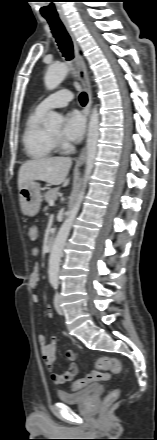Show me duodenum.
<instances>
[{"label": "duodenum", "instance_id": "410a0bca", "mask_svg": "<svg viewBox=\"0 0 157 440\" xmlns=\"http://www.w3.org/2000/svg\"><path fill=\"white\" fill-rule=\"evenodd\" d=\"M55 239L53 237L48 239L47 248L51 251L54 247Z\"/></svg>", "mask_w": 157, "mask_h": 440}]
</instances>
